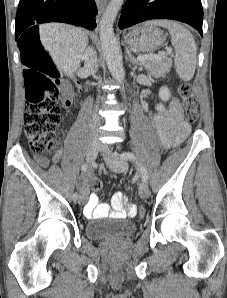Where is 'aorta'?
<instances>
[{
    "instance_id": "1",
    "label": "aorta",
    "mask_w": 227,
    "mask_h": 298,
    "mask_svg": "<svg viewBox=\"0 0 227 298\" xmlns=\"http://www.w3.org/2000/svg\"><path fill=\"white\" fill-rule=\"evenodd\" d=\"M122 4L123 0H110L99 23L101 47L108 70L113 78L119 82L124 80L125 71L113 25Z\"/></svg>"
}]
</instances>
